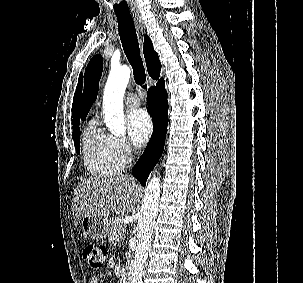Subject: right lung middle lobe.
<instances>
[{"instance_id": "obj_1", "label": "right lung middle lobe", "mask_w": 303, "mask_h": 283, "mask_svg": "<svg viewBox=\"0 0 303 283\" xmlns=\"http://www.w3.org/2000/svg\"><path fill=\"white\" fill-rule=\"evenodd\" d=\"M79 134H80L79 125L76 127H73L74 144H75L77 153H80V135Z\"/></svg>"}]
</instances>
